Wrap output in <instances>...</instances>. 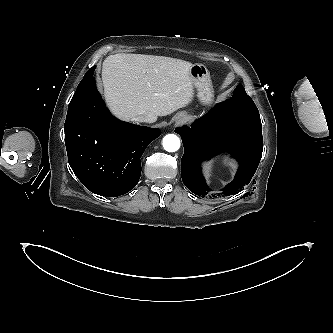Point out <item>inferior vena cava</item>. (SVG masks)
I'll use <instances>...</instances> for the list:
<instances>
[{
  "label": "inferior vena cava",
  "instance_id": "obj_1",
  "mask_svg": "<svg viewBox=\"0 0 333 333\" xmlns=\"http://www.w3.org/2000/svg\"><path fill=\"white\" fill-rule=\"evenodd\" d=\"M136 122H149V118L144 115H139L133 118Z\"/></svg>",
  "mask_w": 333,
  "mask_h": 333
}]
</instances>
